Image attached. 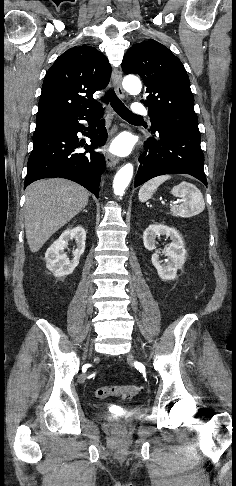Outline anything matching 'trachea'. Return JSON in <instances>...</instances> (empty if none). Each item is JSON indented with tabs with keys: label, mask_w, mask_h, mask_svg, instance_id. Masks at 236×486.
Instances as JSON below:
<instances>
[{
	"label": "trachea",
	"mask_w": 236,
	"mask_h": 486,
	"mask_svg": "<svg viewBox=\"0 0 236 486\" xmlns=\"http://www.w3.org/2000/svg\"><path fill=\"white\" fill-rule=\"evenodd\" d=\"M102 101L105 103H111L112 108L114 111L123 119L126 120H140L142 119L141 116L133 114L123 103L122 101L116 96L115 92L111 89L108 90L105 95L102 97Z\"/></svg>",
	"instance_id": "obj_1"
}]
</instances>
